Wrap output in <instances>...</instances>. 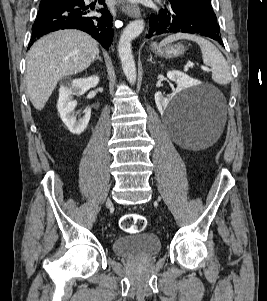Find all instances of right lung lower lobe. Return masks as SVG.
Instances as JSON below:
<instances>
[{"label":"right lung lower lobe","mask_w":267,"mask_h":301,"mask_svg":"<svg viewBox=\"0 0 267 301\" xmlns=\"http://www.w3.org/2000/svg\"><path fill=\"white\" fill-rule=\"evenodd\" d=\"M99 3L104 7L94 10L95 6H85L83 0H65L50 8L40 10L32 26L29 47L42 35L69 28L87 32L108 49L114 34L112 16L106 9L105 0H99Z\"/></svg>","instance_id":"obj_1"}]
</instances>
